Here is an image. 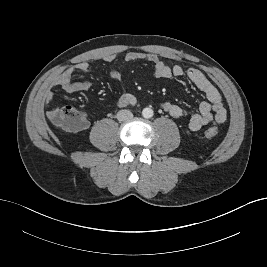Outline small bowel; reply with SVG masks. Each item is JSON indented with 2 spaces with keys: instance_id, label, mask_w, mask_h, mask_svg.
Wrapping results in <instances>:
<instances>
[{
  "instance_id": "c3829d8e",
  "label": "small bowel",
  "mask_w": 267,
  "mask_h": 267,
  "mask_svg": "<svg viewBox=\"0 0 267 267\" xmlns=\"http://www.w3.org/2000/svg\"><path fill=\"white\" fill-rule=\"evenodd\" d=\"M101 59L105 62H113L117 59V56L115 54H105L101 57ZM124 61L126 63L147 61L153 65L154 75L156 78L169 79L186 77L205 94L206 100L200 103L198 112L192 114L189 119L188 126L190 130L198 131L208 124L218 125L226 120L227 112L220 92L200 70L195 68L184 69L181 65L169 66L164 63L158 55L141 51H131L126 53ZM76 72L82 74L91 73L92 66L88 62L75 64L58 74L53 80V86L59 87L67 93L88 91L91 88L90 81L85 80L82 82H73V75ZM110 77L121 83L122 71L119 69H112L110 71ZM45 100L50 107L47 112V116L52 120L58 108L53 105L54 95L50 90L45 93ZM135 104L136 97L127 92L122 86L116 105L118 107H127ZM161 107L173 118H181L187 115V111L184 107L172 102H163L161 103ZM81 115L84 119V124L81 129H84L87 127L88 122L85 114L81 113Z\"/></svg>"
}]
</instances>
